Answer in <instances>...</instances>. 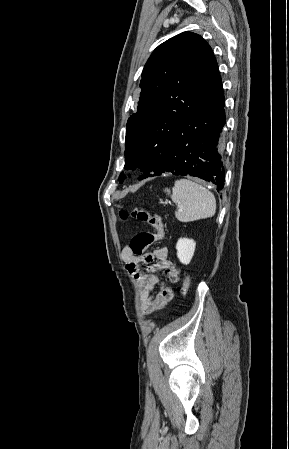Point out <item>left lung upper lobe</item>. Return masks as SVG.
<instances>
[{
  "label": "left lung upper lobe",
  "mask_w": 289,
  "mask_h": 449,
  "mask_svg": "<svg viewBox=\"0 0 289 449\" xmlns=\"http://www.w3.org/2000/svg\"><path fill=\"white\" fill-rule=\"evenodd\" d=\"M215 62L209 44L191 32L154 50L142 72L138 111L127 121L125 169L141 168L140 180L158 172L173 129L193 109ZM123 179L121 174L120 183Z\"/></svg>",
  "instance_id": "1"
}]
</instances>
